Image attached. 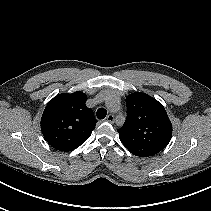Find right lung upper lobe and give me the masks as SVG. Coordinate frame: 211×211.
<instances>
[{
    "mask_svg": "<svg viewBox=\"0 0 211 211\" xmlns=\"http://www.w3.org/2000/svg\"><path fill=\"white\" fill-rule=\"evenodd\" d=\"M86 100L87 96L77 91L59 94L47 104L41 118V131L51 147L73 151L90 137L97 120L85 105Z\"/></svg>",
    "mask_w": 211,
    "mask_h": 211,
    "instance_id": "obj_1",
    "label": "right lung upper lobe"
}]
</instances>
